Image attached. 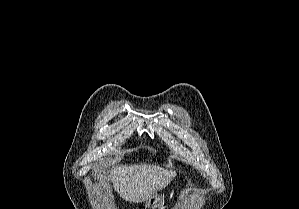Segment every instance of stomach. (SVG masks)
Masks as SVG:
<instances>
[{"instance_id":"obj_1","label":"stomach","mask_w":299,"mask_h":209,"mask_svg":"<svg viewBox=\"0 0 299 209\" xmlns=\"http://www.w3.org/2000/svg\"><path fill=\"white\" fill-rule=\"evenodd\" d=\"M160 202H161V195L155 193L154 195H152L150 198L146 200L145 207L151 209H161Z\"/></svg>"}]
</instances>
